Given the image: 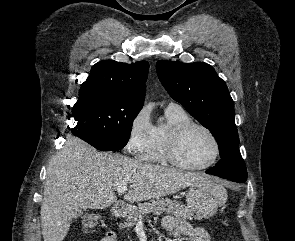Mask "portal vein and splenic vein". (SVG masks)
<instances>
[{
	"instance_id": "18ae733b",
	"label": "portal vein and splenic vein",
	"mask_w": 295,
	"mask_h": 241,
	"mask_svg": "<svg viewBox=\"0 0 295 241\" xmlns=\"http://www.w3.org/2000/svg\"><path fill=\"white\" fill-rule=\"evenodd\" d=\"M116 190H117L118 193H124L127 190V185L118 186Z\"/></svg>"
}]
</instances>
